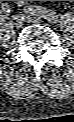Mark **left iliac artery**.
Here are the masks:
<instances>
[{"label": "left iliac artery", "instance_id": "44dca946", "mask_svg": "<svg viewBox=\"0 0 74 122\" xmlns=\"http://www.w3.org/2000/svg\"><path fill=\"white\" fill-rule=\"evenodd\" d=\"M25 11L33 15L41 16L52 23H57L58 21V15L54 11L46 9L45 7H28Z\"/></svg>", "mask_w": 74, "mask_h": 122}]
</instances>
